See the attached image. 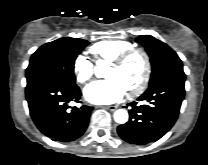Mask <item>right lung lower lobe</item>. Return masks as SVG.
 <instances>
[{
    "label": "right lung lower lobe",
    "mask_w": 208,
    "mask_h": 165,
    "mask_svg": "<svg viewBox=\"0 0 208 165\" xmlns=\"http://www.w3.org/2000/svg\"><path fill=\"white\" fill-rule=\"evenodd\" d=\"M79 87L56 80H43L26 88L30 115L37 128L54 141L70 142L87 129L92 108L69 107L80 102Z\"/></svg>",
    "instance_id": "98d812e1"
}]
</instances>
